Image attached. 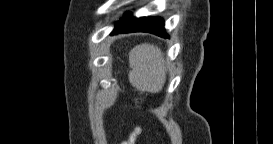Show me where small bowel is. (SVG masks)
<instances>
[{
	"mask_svg": "<svg viewBox=\"0 0 273 144\" xmlns=\"http://www.w3.org/2000/svg\"><path fill=\"white\" fill-rule=\"evenodd\" d=\"M142 132L141 128H137L135 130V132L132 134L131 138H130V143H134V141L136 140V138L138 137V135H140Z\"/></svg>",
	"mask_w": 273,
	"mask_h": 144,
	"instance_id": "small-bowel-1",
	"label": "small bowel"
}]
</instances>
